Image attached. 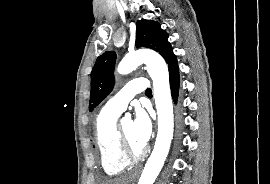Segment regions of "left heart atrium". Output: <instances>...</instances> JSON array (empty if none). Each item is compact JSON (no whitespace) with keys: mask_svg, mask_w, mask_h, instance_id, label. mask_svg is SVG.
Listing matches in <instances>:
<instances>
[{"mask_svg":"<svg viewBox=\"0 0 270 184\" xmlns=\"http://www.w3.org/2000/svg\"><path fill=\"white\" fill-rule=\"evenodd\" d=\"M134 133L139 142L145 145L152 134V123L148 114L141 108L136 110L135 119L133 121Z\"/></svg>","mask_w":270,"mask_h":184,"instance_id":"left-heart-atrium-1","label":"left heart atrium"}]
</instances>
